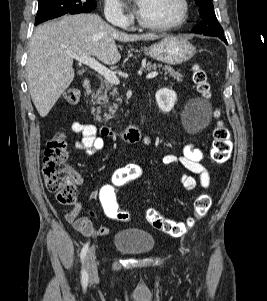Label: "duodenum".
Masks as SVG:
<instances>
[{
	"instance_id": "duodenum-1",
	"label": "duodenum",
	"mask_w": 267,
	"mask_h": 301,
	"mask_svg": "<svg viewBox=\"0 0 267 301\" xmlns=\"http://www.w3.org/2000/svg\"><path fill=\"white\" fill-rule=\"evenodd\" d=\"M83 87L87 93L92 91L91 83L86 80L83 83ZM145 122L144 116L141 115L140 123L136 126H131L123 130H116L106 126L101 128V133L103 136L107 137H117L125 142L134 143L141 139V127Z\"/></svg>"
}]
</instances>
